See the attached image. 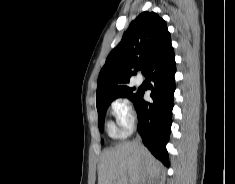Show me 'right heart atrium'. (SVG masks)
Here are the masks:
<instances>
[{"label":"right heart atrium","instance_id":"d8ad5b80","mask_svg":"<svg viewBox=\"0 0 235 184\" xmlns=\"http://www.w3.org/2000/svg\"><path fill=\"white\" fill-rule=\"evenodd\" d=\"M108 114L105 128L110 137L120 139L131 133L136 113L128 99L118 97L112 100L108 105Z\"/></svg>","mask_w":235,"mask_h":184}]
</instances>
